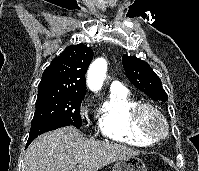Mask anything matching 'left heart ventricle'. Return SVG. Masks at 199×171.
Masks as SVG:
<instances>
[{
	"instance_id": "1",
	"label": "left heart ventricle",
	"mask_w": 199,
	"mask_h": 171,
	"mask_svg": "<svg viewBox=\"0 0 199 171\" xmlns=\"http://www.w3.org/2000/svg\"><path fill=\"white\" fill-rule=\"evenodd\" d=\"M152 122H153L154 124H158V122H157V120H156L155 118H152Z\"/></svg>"
}]
</instances>
